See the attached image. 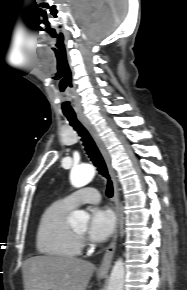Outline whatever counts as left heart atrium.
<instances>
[{
	"label": "left heart atrium",
	"instance_id": "left-heart-atrium-1",
	"mask_svg": "<svg viewBox=\"0 0 187 290\" xmlns=\"http://www.w3.org/2000/svg\"><path fill=\"white\" fill-rule=\"evenodd\" d=\"M116 226L113 212L106 208H94L91 211L88 236L92 241L102 242L108 239Z\"/></svg>",
	"mask_w": 187,
	"mask_h": 290
}]
</instances>
